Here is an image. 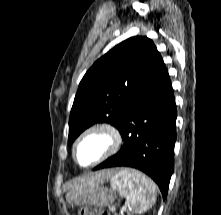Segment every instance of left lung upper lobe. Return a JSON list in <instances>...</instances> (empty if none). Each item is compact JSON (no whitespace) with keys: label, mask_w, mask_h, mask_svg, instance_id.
<instances>
[{"label":"left lung upper lobe","mask_w":221,"mask_h":215,"mask_svg":"<svg viewBox=\"0 0 221 215\" xmlns=\"http://www.w3.org/2000/svg\"><path fill=\"white\" fill-rule=\"evenodd\" d=\"M159 55L151 39L137 36L119 43L98 59L79 84L69 118L68 143L97 122L117 128L123 109Z\"/></svg>","instance_id":"obj_1"}]
</instances>
